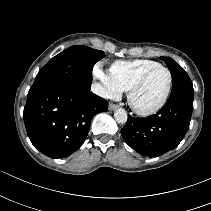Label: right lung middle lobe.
<instances>
[{
	"label": "right lung middle lobe",
	"mask_w": 211,
	"mask_h": 211,
	"mask_svg": "<svg viewBox=\"0 0 211 211\" xmlns=\"http://www.w3.org/2000/svg\"><path fill=\"white\" fill-rule=\"evenodd\" d=\"M105 56L103 51L72 46L53 57L37 74L34 84L61 83L90 89L94 64Z\"/></svg>",
	"instance_id": "right-lung-middle-lobe-1"
}]
</instances>
